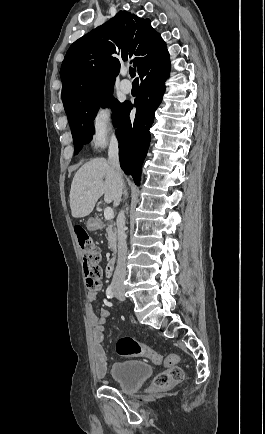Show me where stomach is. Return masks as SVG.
<instances>
[{
    "label": "stomach",
    "instance_id": "stomach-1",
    "mask_svg": "<svg viewBox=\"0 0 265 434\" xmlns=\"http://www.w3.org/2000/svg\"><path fill=\"white\" fill-rule=\"evenodd\" d=\"M87 226H89V230L92 232H96L99 229V226L95 223V220H90Z\"/></svg>",
    "mask_w": 265,
    "mask_h": 434
}]
</instances>
